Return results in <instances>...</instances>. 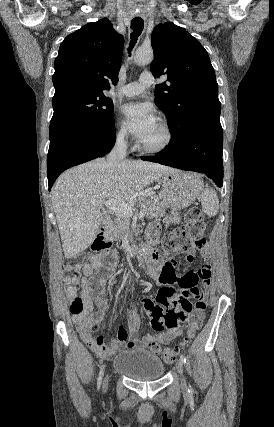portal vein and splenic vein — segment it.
I'll return each instance as SVG.
<instances>
[{
  "instance_id": "portal-vein-and-splenic-vein-1",
  "label": "portal vein and splenic vein",
  "mask_w": 274,
  "mask_h": 427,
  "mask_svg": "<svg viewBox=\"0 0 274 427\" xmlns=\"http://www.w3.org/2000/svg\"><path fill=\"white\" fill-rule=\"evenodd\" d=\"M95 204H98V206H106L108 210H111V212H115V214H124V215H133V204H125V202H115V200H106V202H95ZM146 214V210H142L140 214L138 215L139 219H142L144 215Z\"/></svg>"
}]
</instances>
